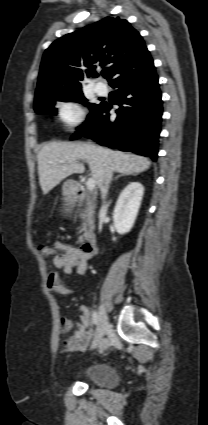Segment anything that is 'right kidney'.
<instances>
[{"label": "right kidney", "instance_id": "right-kidney-1", "mask_svg": "<svg viewBox=\"0 0 208 425\" xmlns=\"http://www.w3.org/2000/svg\"><path fill=\"white\" fill-rule=\"evenodd\" d=\"M143 194V185L131 182L119 195L113 212L114 227L119 234H125L133 227Z\"/></svg>", "mask_w": 208, "mask_h": 425}]
</instances>
